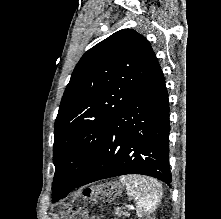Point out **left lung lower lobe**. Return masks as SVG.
Here are the masks:
<instances>
[{"label": "left lung lower lobe", "mask_w": 221, "mask_h": 219, "mask_svg": "<svg viewBox=\"0 0 221 219\" xmlns=\"http://www.w3.org/2000/svg\"><path fill=\"white\" fill-rule=\"evenodd\" d=\"M169 131L168 93L156 60L145 82L116 116L98 154L74 188L126 174L148 175L170 185Z\"/></svg>", "instance_id": "left-lung-lower-lobe-1"}]
</instances>
